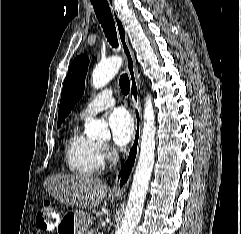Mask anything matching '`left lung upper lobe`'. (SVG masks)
<instances>
[{
  "label": "left lung upper lobe",
  "mask_w": 241,
  "mask_h": 234,
  "mask_svg": "<svg viewBox=\"0 0 241 234\" xmlns=\"http://www.w3.org/2000/svg\"><path fill=\"white\" fill-rule=\"evenodd\" d=\"M88 64V57L86 55H81L76 57L69 67L61 94L58 112L59 121L57 123L58 128L70 113L75 103L83 95Z\"/></svg>",
  "instance_id": "left-lung-upper-lobe-1"
}]
</instances>
